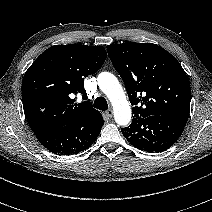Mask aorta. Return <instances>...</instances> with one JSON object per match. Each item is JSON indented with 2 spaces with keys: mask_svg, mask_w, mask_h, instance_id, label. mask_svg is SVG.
<instances>
[{
  "mask_svg": "<svg viewBox=\"0 0 212 212\" xmlns=\"http://www.w3.org/2000/svg\"><path fill=\"white\" fill-rule=\"evenodd\" d=\"M100 90L110 100L114 119L120 126H126L130 123L132 112L127 101L124 90L115 75L109 72H102L97 77Z\"/></svg>",
  "mask_w": 212,
  "mask_h": 212,
  "instance_id": "1",
  "label": "aorta"
}]
</instances>
